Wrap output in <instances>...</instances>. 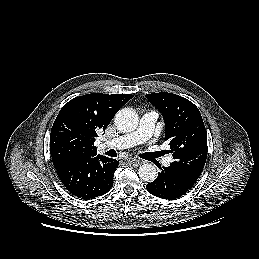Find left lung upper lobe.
I'll return each mask as SVG.
<instances>
[{"mask_svg": "<svg viewBox=\"0 0 259 259\" xmlns=\"http://www.w3.org/2000/svg\"><path fill=\"white\" fill-rule=\"evenodd\" d=\"M146 97L164 117L165 140L170 145L167 152L174 159L170 165L197 181L207 158V134L198 108L172 93H152Z\"/></svg>", "mask_w": 259, "mask_h": 259, "instance_id": "1", "label": "left lung upper lobe"}]
</instances>
